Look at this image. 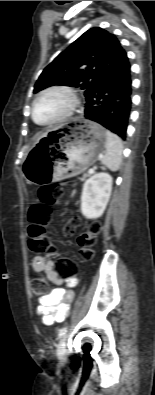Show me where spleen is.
Segmentation results:
<instances>
[{"mask_svg":"<svg viewBox=\"0 0 155 395\" xmlns=\"http://www.w3.org/2000/svg\"><path fill=\"white\" fill-rule=\"evenodd\" d=\"M105 153L100 160L111 171H117L122 162L123 144L121 139L114 133L106 131Z\"/></svg>","mask_w":155,"mask_h":395,"instance_id":"3e777b00","label":"spleen"}]
</instances>
